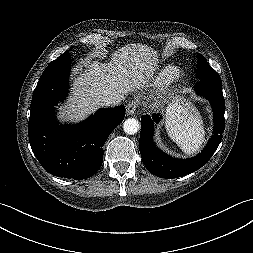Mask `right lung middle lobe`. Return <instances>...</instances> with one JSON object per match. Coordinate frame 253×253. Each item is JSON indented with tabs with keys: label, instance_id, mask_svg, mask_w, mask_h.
<instances>
[{
	"label": "right lung middle lobe",
	"instance_id": "obj_1",
	"mask_svg": "<svg viewBox=\"0 0 253 253\" xmlns=\"http://www.w3.org/2000/svg\"><path fill=\"white\" fill-rule=\"evenodd\" d=\"M68 54V51L64 52L60 57H58L56 60L54 61H57V60H60L62 58H64L66 55Z\"/></svg>",
	"mask_w": 253,
	"mask_h": 253
}]
</instances>
